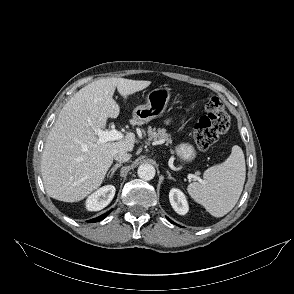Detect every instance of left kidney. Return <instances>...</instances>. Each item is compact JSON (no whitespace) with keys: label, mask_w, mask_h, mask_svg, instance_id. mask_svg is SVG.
I'll return each mask as SVG.
<instances>
[{"label":"left kidney","mask_w":294,"mask_h":294,"mask_svg":"<svg viewBox=\"0 0 294 294\" xmlns=\"http://www.w3.org/2000/svg\"><path fill=\"white\" fill-rule=\"evenodd\" d=\"M169 200L171 206L178 214L185 215L188 212V202L181 190L172 188L169 192Z\"/></svg>","instance_id":"1"}]
</instances>
